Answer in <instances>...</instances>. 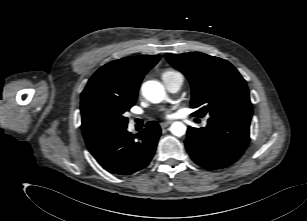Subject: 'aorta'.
Masks as SVG:
<instances>
[{
    "label": "aorta",
    "instance_id": "762f6f07",
    "mask_svg": "<svg viewBox=\"0 0 307 221\" xmlns=\"http://www.w3.org/2000/svg\"><path fill=\"white\" fill-rule=\"evenodd\" d=\"M143 96L152 103H160L166 99V92L161 83L150 80L142 85ZM173 135L180 137L186 132V126L182 122H174L170 127Z\"/></svg>",
    "mask_w": 307,
    "mask_h": 221
}]
</instances>
